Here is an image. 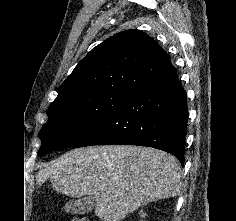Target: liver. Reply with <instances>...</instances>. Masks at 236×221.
Masks as SVG:
<instances>
[{
	"instance_id": "liver-1",
	"label": "liver",
	"mask_w": 236,
	"mask_h": 221,
	"mask_svg": "<svg viewBox=\"0 0 236 221\" xmlns=\"http://www.w3.org/2000/svg\"><path fill=\"white\" fill-rule=\"evenodd\" d=\"M179 161L149 147L106 145L71 150L40 170L37 185L50 180L73 198L92 195L95 215L121 221L149 202L176 197L182 186Z\"/></svg>"
}]
</instances>
